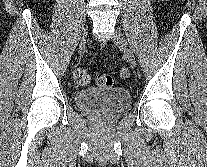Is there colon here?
<instances>
[{
  "instance_id": "5ec220e1",
  "label": "colon",
  "mask_w": 207,
  "mask_h": 167,
  "mask_svg": "<svg viewBox=\"0 0 207 167\" xmlns=\"http://www.w3.org/2000/svg\"><path fill=\"white\" fill-rule=\"evenodd\" d=\"M120 75L124 79H128L131 76V72L128 68H122ZM74 80L79 85H87L90 82V75L84 68H78L74 72ZM96 83L101 87H111L114 85V78L109 74H100L96 78Z\"/></svg>"
}]
</instances>
